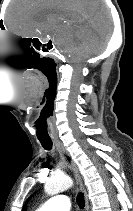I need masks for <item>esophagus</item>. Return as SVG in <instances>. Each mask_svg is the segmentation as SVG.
Masks as SVG:
<instances>
[{
    "label": "esophagus",
    "instance_id": "esophagus-1",
    "mask_svg": "<svg viewBox=\"0 0 133 211\" xmlns=\"http://www.w3.org/2000/svg\"><path fill=\"white\" fill-rule=\"evenodd\" d=\"M54 144H55L57 150L59 151L62 159L65 161V163L68 165V167L72 170L76 184H77V187L84 194L85 210L89 211L90 207H89L88 194H87L86 188L83 184V179H82V176L79 172L78 167L76 166V164L72 160L70 154L67 152L66 148L64 147V145L60 141H55Z\"/></svg>",
    "mask_w": 133,
    "mask_h": 211
}]
</instances>
